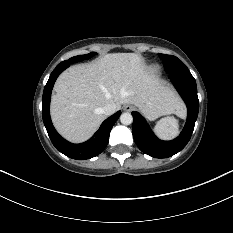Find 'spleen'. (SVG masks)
<instances>
[{
	"label": "spleen",
	"instance_id": "1",
	"mask_svg": "<svg viewBox=\"0 0 233 233\" xmlns=\"http://www.w3.org/2000/svg\"><path fill=\"white\" fill-rule=\"evenodd\" d=\"M154 131L161 139L168 140L178 134V120L174 117H166L158 121Z\"/></svg>",
	"mask_w": 233,
	"mask_h": 233
}]
</instances>
